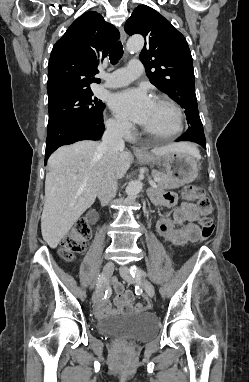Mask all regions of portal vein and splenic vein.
Returning a JSON list of instances; mask_svg holds the SVG:
<instances>
[{
	"label": "portal vein and splenic vein",
	"instance_id": "1",
	"mask_svg": "<svg viewBox=\"0 0 249 382\" xmlns=\"http://www.w3.org/2000/svg\"><path fill=\"white\" fill-rule=\"evenodd\" d=\"M159 181H161L160 178H154V180H150L149 181V184H150L151 187L156 188L157 187L156 183L159 182Z\"/></svg>",
	"mask_w": 249,
	"mask_h": 382
}]
</instances>
